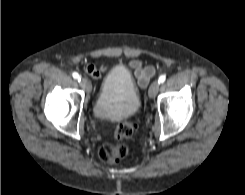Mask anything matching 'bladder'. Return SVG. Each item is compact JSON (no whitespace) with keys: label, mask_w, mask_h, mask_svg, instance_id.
<instances>
[{"label":"bladder","mask_w":245,"mask_h":195,"mask_svg":"<svg viewBox=\"0 0 245 195\" xmlns=\"http://www.w3.org/2000/svg\"><path fill=\"white\" fill-rule=\"evenodd\" d=\"M141 100L129 70L113 67L104 77L93 104V115L101 121H121L135 115Z\"/></svg>","instance_id":"bladder-1"}]
</instances>
